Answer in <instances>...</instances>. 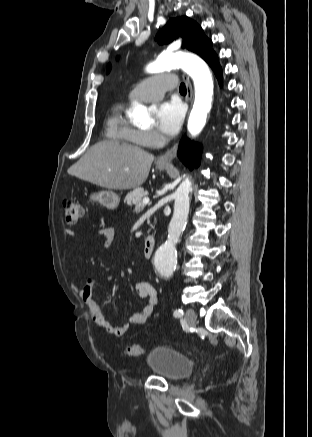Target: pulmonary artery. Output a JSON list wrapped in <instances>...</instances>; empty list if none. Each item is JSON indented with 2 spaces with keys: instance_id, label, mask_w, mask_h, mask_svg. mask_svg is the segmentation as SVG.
Instances as JSON below:
<instances>
[{
  "instance_id": "obj_1",
  "label": "pulmonary artery",
  "mask_w": 312,
  "mask_h": 437,
  "mask_svg": "<svg viewBox=\"0 0 312 437\" xmlns=\"http://www.w3.org/2000/svg\"><path fill=\"white\" fill-rule=\"evenodd\" d=\"M178 84V78L173 74H161L139 82L129 93L131 100L152 102L163 97L167 90Z\"/></svg>"
}]
</instances>
